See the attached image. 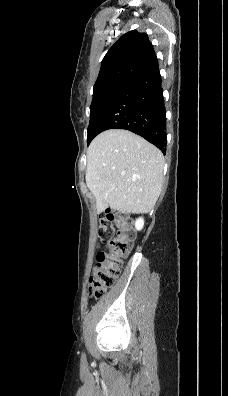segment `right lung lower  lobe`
Returning a JSON list of instances; mask_svg holds the SVG:
<instances>
[{
  "label": "right lung lower lobe",
  "instance_id": "1",
  "mask_svg": "<svg viewBox=\"0 0 228 396\" xmlns=\"http://www.w3.org/2000/svg\"><path fill=\"white\" fill-rule=\"evenodd\" d=\"M95 128V136L114 128L132 131L165 154L166 116L158 61L127 85L99 118Z\"/></svg>",
  "mask_w": 228,
  "mask_h": 396
}]
</instances>
